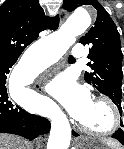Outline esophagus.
<instances>
[{
    "label": "esophagus",
    "instance_id": "34e87169",
    "mask_svg": "<svg viewBox=\"0 0 124 149\" xmlns=\"http://www.w3.org/2000/svg\"><path fill=\"white\" fill-rule=\"evenodd\" d=\"M59 16H60V23H63L68 16V12L66 10L62 9L59 13ZM36 88L39 91H44V87H43V84L41 82L36 83Z\"/></svg>",
    "mask_w": 124,
    "mask_h": 149
}]
</instances>
